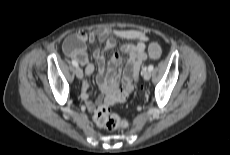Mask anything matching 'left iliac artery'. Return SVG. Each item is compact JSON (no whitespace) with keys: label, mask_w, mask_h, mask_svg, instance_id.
<instances>
[{"label":"left iliac artery","mask_w":230,"mask_h":155,"mask_svg":"<svg viewBox=\"0 0 230 155\" xmlns=\"http://www.w3.org/2000/svg\"><path fill=\"white\" fill-rule=\"evenodd\" d=\"M153 69H154V66H153V65H149V66H148V70H149V71H152Z\"/></svg>","instance_id":"obj_1"}]
</instances>
